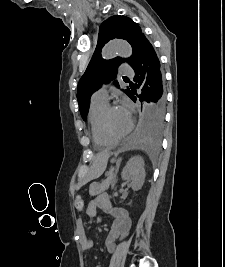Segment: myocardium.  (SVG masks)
<instances>
[{"instance_id": "obj_1", "label": "myocardium", "mask_w": 225, "mask_h": 267, "mask_svg": "<svg viewBox=\"0 0 225 267\" xmlns=\"http://www.w3.org/2000/svg\"><path fill=\"white\" fill-rule=\"evenodd\" d=\"M114 108H118L117 105L107 104L105 106V108L103 109L101 116H100L99 126H100V130H101L102 134L105 136V138L111 140L112 142H114L116 144V143L124 140L129 135V133L131 132V130L133 128V122H132V120H130V123H129L127 130L122 135H120V136L112 135L111 132L107 128L106 120H107L108 113Z\"/></svg>"}]
</instances>
